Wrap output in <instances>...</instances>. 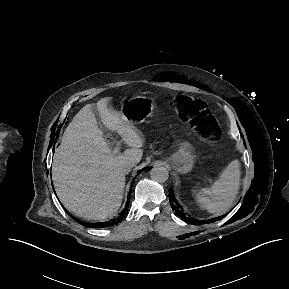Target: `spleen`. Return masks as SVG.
I'll use <instances>...</instances> for the list:
<instances>
[{
    "label": "spleen",
    "mask_w": 289,
    "mask_h": 289,
    "mask_svg": "<svg viewBox=\"0 0 289 289\" xmlns=\"http://www.w3.org/2000/svg\"><path fill=\"white\" fill-rule=\"evenodd\" d=\"M240 162L235 159L209 187L196 194V200L202 209L212 214H222L229 210L235 202L240 189Z\"/></svg>",
    "instance_id": "3e777b00"
}]
</instances>
